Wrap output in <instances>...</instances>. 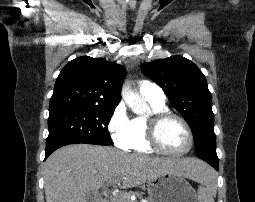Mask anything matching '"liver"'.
I'll return each instance as SVG.
<instances>
[{
    "label": "liver",
    "instance_id": "6515ba94",
    "mask_svg": "<svg viewBox=\"0 0 255 202\" xmlns=\"http://www.w3.org/2000/svg\"><path fill=\"white\" fill-rule=\"evenodd\" d=\"M198 165L205 164L195 158L150 157L112 147L67 145L45 162V198L46 202H85L90 192L97 193L108 181L123 180L126 189L166 173L197 181Z\"/></svg>",
    "mask_w": 255,
    "mask_h": 202
}]
</instances>
